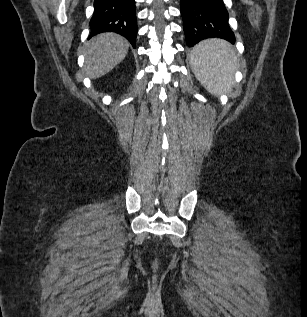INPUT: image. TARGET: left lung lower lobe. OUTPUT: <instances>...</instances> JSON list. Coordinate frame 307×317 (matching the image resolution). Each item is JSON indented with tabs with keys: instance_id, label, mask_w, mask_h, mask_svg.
Segmentation results:
<instances>
[{
	"instance_id": "obj_1",
	"label": "left lung lower lobe",
	"mask_w": 307,
	"mask_h": 317,
	"mask_svg": "<svg viewBox=\"0 0 307 317\" xmlns=\"http://www.w3.org/2000/svg\"><path fill=\"white\" fill-rule=\"evenodd\" d=\"M180 4L188 47L207 38H221L231 44L235 43L223 0H180Z\"/></svg>"
}]
</instances>
